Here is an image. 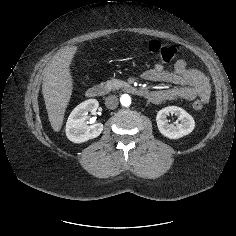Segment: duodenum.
<instances>
[{"instance_id":"410a0bca","label":"duodenum","mask_w":236,"mask_h":236,"mask_svg":"<svg viewBox=\"0 0 236 236\" xmlns=\"http://www.w3.org/2000/svg\"><path fill=\"white\" fill-rule=\"evenodd\" d=\"M124 89L132 94H135L143 98H149V96L151 95L149 90H146L139 86H135L133 84L124 85ZM105 92H106V87L104 85L98 84L89 87L86 91V95L88 98L94 99L101 97L102 95L105 94Z\"/></svg>"}]
</instances>
